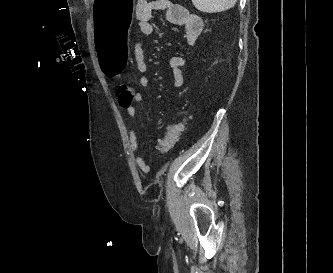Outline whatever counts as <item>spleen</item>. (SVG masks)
<instances>
[{"label":"spleen","instance_id":"1","mask_svg":"<svg viewBox=\"0 0 333 273\" xmlns=\"http://www.w3.org/2000/svg\"><path fill=\"white\" fill-rule=\"evenodd\" d=\"M237 0H192L193 5L201 12L215 13L232 8Z\"/></svg>","mask_w":333,"mask_h":273}]
</instances>
